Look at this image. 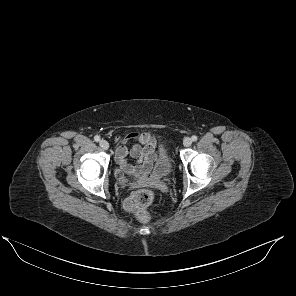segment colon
I'll list each match as a JSON object with an SVG mask.
<instances>
[{
    "label": "colon",
    "mask_w": 296,
    "mask_h": 296,
    "mask_svg": "<svg viewBox=\"0 0 296 296\" xmlns=\"http://www.w3.org/2000/svg\"><path fill=\"white\" fill-rule=\"evenodd\" d=\"M153 194L149 190H139L130 195L125 202V207L136 214L142 221L150 219L146 208L152 203Z\"/></svg>",
    "instance_id": "obj_1"
}]
</instances>
